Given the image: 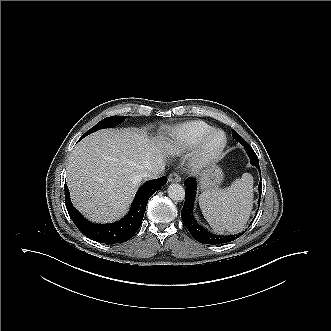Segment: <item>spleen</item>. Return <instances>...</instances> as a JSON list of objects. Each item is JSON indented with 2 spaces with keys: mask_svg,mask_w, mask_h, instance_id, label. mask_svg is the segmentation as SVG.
Returning <instances> with one entry per match:
<instances>
[{
  "mask_svg": "<svg viewBox=\"0 0 331 331\" xmlns=\"http://www.w3.org/2000/svg\"><path fill=\"white\" fill-rule=\"evenodd\" d=\"M253 177L244 173L226 188L203 191L199 196L202 213L218 233L242 231L253 207Z\"/></svg>",
  "mask_w": 331,
  "mask_h": 331,
  "instance_id": "3e777b00",
  "label": "spleen"
}]
</instances>
